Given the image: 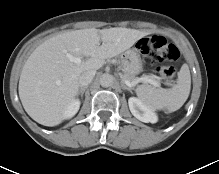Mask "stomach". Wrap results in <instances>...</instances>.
Here are the masks:
<instances>
[{
  "label": "stomach",
  "instance_id": "1",
  "mask_svg": "<svg viewBox=\"0 0 219 174\" xmlns=\"http://www.w3.org/2000/svg\"><path fill=\"white\" fill-rule=\"evenodd\" d=\"M121 57V67L125 75L135 77L142 71V59L137 47L127 50Z\"/></svg>",
  "mask_w": 219,
  "mask_h": 174
}]
</instances>
